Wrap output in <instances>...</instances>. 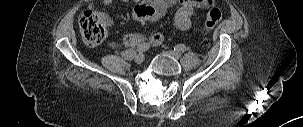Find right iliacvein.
I'll return each instance as SVG.
<instances>
[{
	"label": "right iliac vein",
	"instance_id": "1",
	"mask_svg": "<svg viewBox=\"0 0 303 127\" xmlns=\"http://www.w3.org/2000/svg\"><path fill=\"white\" fill-rule=\"evenodd\" d=\"M144 59H145L144 55L142 53H139L138 55L135 56L134 61L137 64H141L144 61Z\"/></svg>",
	"mask_w": 303,
	"mask_h": 127
}]
</instances>
